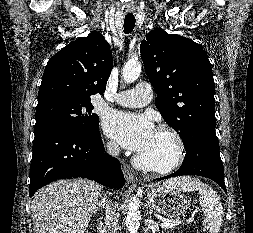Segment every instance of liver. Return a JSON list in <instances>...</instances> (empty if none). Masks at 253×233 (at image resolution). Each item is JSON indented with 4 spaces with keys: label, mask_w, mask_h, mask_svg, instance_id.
Instances as JSON below:
<instances>
[{
    "label": "liver",
    "mask_w": 253,
    "mask_h": 233,
    "mask_svg": "<svg viewBox=\"0 0 253 233\" xmlns=\"http://www.w3.org/2000/svg\"><path fill=\"white\" fill-rule=\"evenodd\" d=\"M102 186L86 180H59L37 192L31 202L35 233H84Z\"/></svg>",
    "instance_id": "obj_1"
}]
</instances>
